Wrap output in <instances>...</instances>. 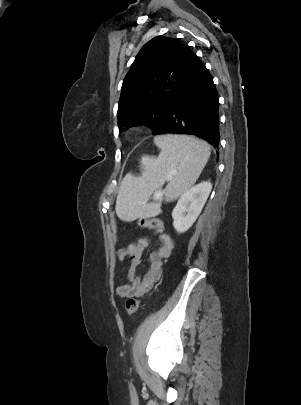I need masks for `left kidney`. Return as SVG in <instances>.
<instances>
[{
	"label": "left kidney",
	"instance_id": "1",
	"mask_svg": "<svg viewBox=\"0 0 301 405\" xmlns=\"http://www.w3.org/2000/svg\"><path fill=\"white\" fill-rule=\"evenodd\" d=\"M210 182H201L184 192L172 211L173 226L178 233L186 232L196 221L211 192Z\"/></svg>",
	"mask_w": 301,
	"mask_h": 405
}]
</instances>
